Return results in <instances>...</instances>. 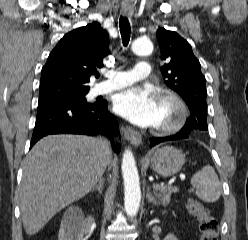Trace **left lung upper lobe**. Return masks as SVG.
<instances>
[{"label":"left lung upper lobe","mask_w":248,"mask_h":240,"mask_svg":"<svg viewBox=\"0 0 248 240\" xmlns=\"http://www.w3.org/2000/svg\"><path fill=\"white\" fill-rule=\"evenodd\" d=\"M157 40L165 62L161 67L165 84L184 99L190 110L191 117L180 131L207 130L205 77L191 45L176 32L164 28L157 30Z\"/></svg>","instance_id":"obj_1"}]
</instances>
